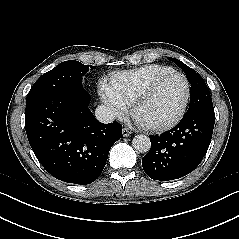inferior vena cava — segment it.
I'll return each mask as SVG.
<instances>
[{
	"instance_id": "1",
	"label": "inferior vena cava",
	"mask_w": 239,
	"mask_h": 239,
	"mask_svg": "<svg viewBox=\"0 0 239 239\" xmlns=\"http://www.w3.org/2000/svg\"><path fill=\"white\" fill-rule=\"evenodd\" d=\"M95 117L102 123H111L115 120V113L111 108L99 105L95 110Z\"/></svg>"
}]
</instances>
